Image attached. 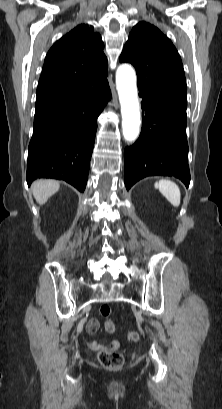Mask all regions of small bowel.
I'll return each instance as SVG.
<instances>
[{
    "mask_svg": "<svg viewBox=\"0 0 222 409\" xmlns=\"http://www.w3.org/2000/svg\"><path fill=\"white\" fill-rule=\"evenodd\" d=\"M99 327L98 321L96 320H90L87 324V332L89 334H94L97 332ZM119 346V343L117 341H112L108 344H105L103 342L93 340L89 342V347L94 350L98 349H108V348H117Z\"/></svg>",
    "mask_w": 222,
    "mask_h": 409,
    "instance_id": "obj_1",
    "label": "small bowel"
}]
</instances>
